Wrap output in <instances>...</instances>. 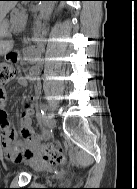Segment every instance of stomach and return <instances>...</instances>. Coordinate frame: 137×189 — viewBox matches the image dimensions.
Instances as JSON below:
<instances>
[{
	"label": "stomach",
	"mask_w": 137,
	"mask_h": 189,
	"mask_svg": "<svg viewBox=\"0 0 137 189\" xmlns=\"http://www.w3.org/2000/svg\"><path fill=\"white\" fill-rule=\"evenodd\" d=\"M7 36H9L8 22L4 20L0 25V54L7 51V46L10 43L8 39H5Z\"/></svg>",
	"instance_id": "obj_1"
}]
</instances>
